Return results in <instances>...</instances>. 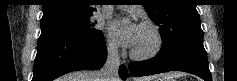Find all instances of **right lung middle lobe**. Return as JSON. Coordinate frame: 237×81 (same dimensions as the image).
Returning <instances> with one entry per match:
<instances>
[{
    "instance_id": "dd1d6c3e",
    "label": "right lung middle lobe",
    "mask_w": 237,
    "mask_h": 81,
    "mask_svg": "<svg viewBox=\"0 0 237 81\" xmlns=\"http://www.w3.org/2000/svg\"><path fill=\"white\" fill-rule=\"evenodd\" d=\"M92 15L87 16H56L41 19L42 32H58L78 37L95 39L103 36L101 30L94 28Z\"/></svg>"
}]
</instances>
